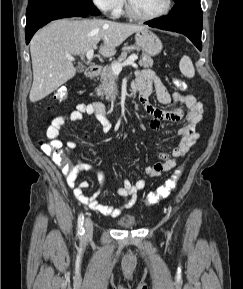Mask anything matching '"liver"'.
<instances>
[{"label":"liver","instance_id":"obj_1","mask_svg":"<svg viewBox=\"0 0 243 289\" xmlns=\"http://www.w3.org/2000/svg\"><path fill=\"white\" fill-rule=\"evenodd\" d=\"M145 26L102 19H59L38 30L30 42L33 84L29 99L39 101L74 77L77 68L67 55H84L97 48L111 57L116 48Z\"/></svg>","mask_w":243,"mask_h":289}]
</instances>
